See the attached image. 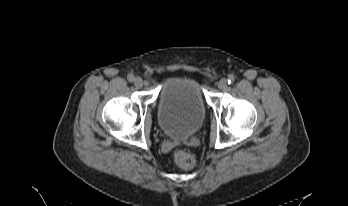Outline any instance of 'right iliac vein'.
Masks as SVG:
<instances>
[{
    "label": "right iliac vein",
    "instance_id": "1",
    "mask_svg": "<svg viewBox=\"0 0 348 206\" xmlns=\"http://www.w3.org/2000/svg\"><path fill=\"white\" fill-rule=\"evenodd\" d=\"M134 85L137 87V88H141L143 86V80L142 78L140 77H136L134 79Z\"/></svg>",
    "mask_w": 348,
    "mask_h": 206
}]
</instances>
